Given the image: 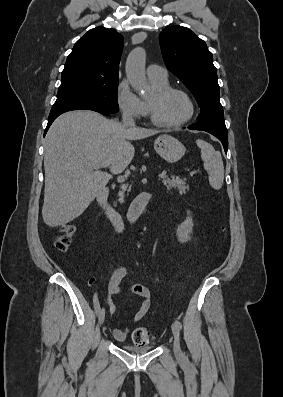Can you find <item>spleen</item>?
I'll return each mask as SVG.
<instances>
[{"instance_id": "3e777b00", "label": "spleen", "mask_w": 283, "mask_h": 397, "mask_svg": "<svg viewBox=\"0 0 283 397\" xmlns=\"http://www.w3.org/2000/svg\"><path fill=\"white\" fill-rule=\"evenodd\" d=\"M196 144L201 149V158L204 162V169L208 173L209 183L213 189L219 190L224 181V166L221 153L204 140L197 139Z\"/></svg>"}]
</instances>
